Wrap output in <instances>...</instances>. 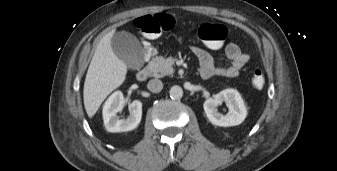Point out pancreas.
<instances>
[{
  "mask_svg": "<svg viewBox=\"0 0 337 171\" xmlns=\"http://www.w3.org/2000/svg\"><path fill=\"white\" fill-rule=\"evenodd\" d=\"M175 59L173 58H163L162 56H157L149 62V68L153 72L154 77H164L174 73L173 65Z\"/></svg>",
  "mask_w": 337,
  "mask_h": 171,
  "instance_id": "pancreas-1",
  "label": "pancreas"
}]
</instances>
